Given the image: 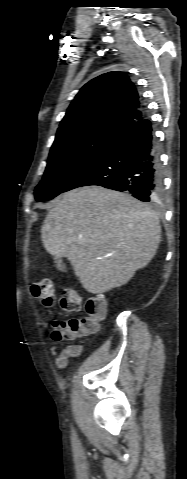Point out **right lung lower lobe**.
Segmentation results:
<instances>
[{"mask_svg": "<svg viewBox=\"0 0 187 479\" xmlns=\"http://www.w3.org/2000/svg\"><path fill=\"white\" fill-rule=\"evenodd\" d=\"M88 185L127 191L144 202L155 201L162 195L157 141L148 119L143 117L123 131L69 182L63 192Z\"/></svg>", "mask_w": 187, "mask_h": 479, "instance_id": "right-lung-lower-lobe-1", "label": "right lung lower lobe"}]
</instances>
